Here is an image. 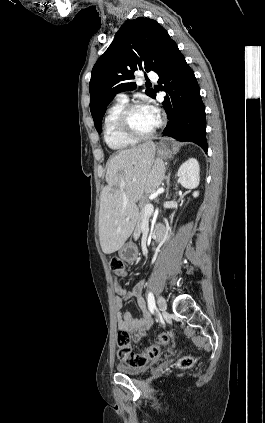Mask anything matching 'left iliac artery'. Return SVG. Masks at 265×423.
I'll return each instance as SVG.
<instances>
[{"label": "left iliac artery", "instance_id": "44dca946", "mask_svg": "<svg viewBox=\"0 0 265 423\" xmlns=\"http://www.w3.org/2000/svg\"><path fill=\"white\" fill-rule=\"evenodd\" d=\"M147 301H148L149 310H150L151 313H153L154 309H155V299H154V295H153L152 292L148 293Z\"/></svg>", "mask_w": 265, "mask_h": 423}]
</instances>
